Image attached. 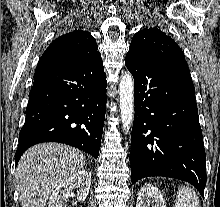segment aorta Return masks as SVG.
<instances>
[{
	"instance_id": "obj_1",
	"label": "aorta",
	"mask_w": 220,
	"mask_h": 207,
	"mask_svg": "<svg viewBox=\"0 0 220 207\" xmlns=\"http://www.w3.org/2000/svg\"><path fill=\"white\" fill-rule=\"evenodd\" d=\"M119 98L123 130L128 133L134 119V79L129 72L124 73L120 79Z\"/></svg>"
}]
</instances>
